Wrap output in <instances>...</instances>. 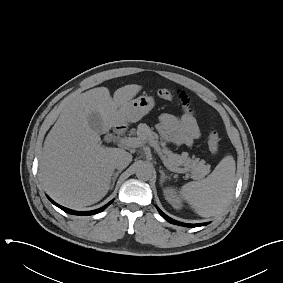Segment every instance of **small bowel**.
<instances>
[{
  "label": "small bowel",
  "instance_id": "obj_1",
  "mask_svg": "<svg viewBox=\"0 0 283 283\" xmlns=\"http://www.w3.org/2000/svg\"><path fill=\"white\" fill-rule=\"evenodd\" d=\"M176 92L183 105V115L180 117L169 113L160 115L157 129L167 142L176 146H190L200 137L197 118L190 107L186 93L181 90Z\"/></svg>",
  "mask_w": 283,
  "mask_h": 283
}]
</instances>
